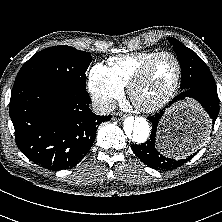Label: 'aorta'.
<instances>
[{"label": "aorta", "instance_id": "aorta-1", "mask_svg": "<svg viewBox=\"0 0 222 222\" xmlns=\"http://www.w3.org/2000/svg\"><path fill=\"white\" fill-rule=\"evenodd\" d=\"M124 138L133 144H143L150 135V125L148 121L141 117H128L123 123Z\"/></svg>", "mask_w": 222, "mask_h": 222}]
</instances>
